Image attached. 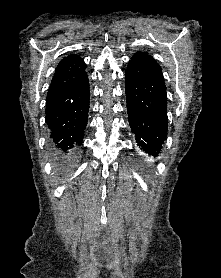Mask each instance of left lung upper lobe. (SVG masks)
I'll use <instances>...</instances> for the list:
<instances>
[{"label":"left lung upper lobe","instance_id":"1","mask_svg":"<svg viewBox=\"0 0 221 278\" xmlns=\"http://www.w3.org/2000/svg\"><path fill=\"white\" fill-rule=\"evenodd\" d=\"M143 58H152L151 55H149L147 52H137L133 55V57L131 58V60H140Z\"/></svg>","mask_w":221,"mask_h":278}]
</instances>
